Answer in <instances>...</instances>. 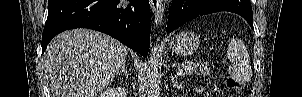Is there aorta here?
Wrapping results in <instances>:
<instances>
[{"label": "aorta", "instance_id": "762f6f07", "mask_svg": "<svg viewBox=\"0 0 302 97\" xmlns=\"http://www.w3.org/2000/svg\"><path fill=\"white\" fill-rule=\"evenodd\" d=\"M158 46H154L151 50L149 63V70L147 74V97H160V86H159V54L157 52Z\"/></svg>", "mask_w": 302, "mask_h": 97}]
</instances>
